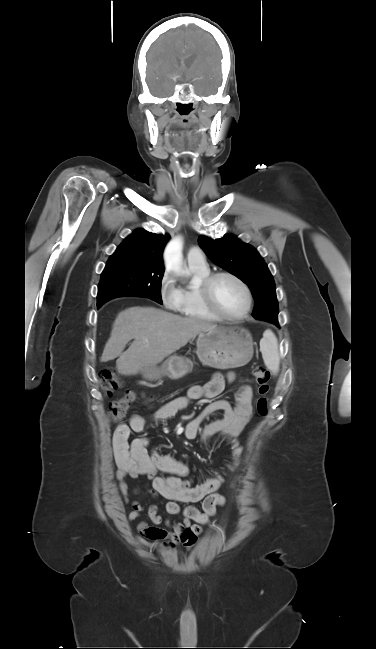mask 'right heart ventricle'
I'll list each match as a JSON object with an SVG mask.
<instances>
[{
    "instance_id": "e07e8e85",
    "label": "right heart ventricle",
    "mask_w": 376,
    "mask_h": 649,
    "mask_svg": "<svg viewBox=\"0 0 376 649\" xmlns=\"http://www.w3.org/2000/svg\"><path fill=\"white\" fill-rule=\"evenodd\" d=\"M189 269L195 280L186 282L179 288L181 300L176 310L191 319L218 321L219 317L205 307L200 294V282L210 274L208 266L189 265Z\"/></svg>"
}]
</instances>
